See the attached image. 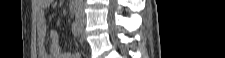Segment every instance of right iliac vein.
<instances>
[{
  "mask_svg": "<svg viewBox=\"0 0 225 58\" xmlns=\"http://www.w3.org/2000/svg\"><path fill=\"white\" fill-rule=\"evenodd\" d=\"M77 24H78L79 28L81 29V32H83L85 22L82 20H78Z\"/></svg>",
  "mask_w": 225,
  "mask_h": 58,
  "instance_id": "obj_1",
  "label": "right iliac vein"
}]
</instances>
